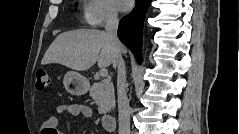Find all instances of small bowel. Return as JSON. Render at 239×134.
I'll return each instance as SVG.
<instances>
[{
	"label": "small bowel",
	"instance_id": "1",
	"mask_svg": "<svg viewBox=\"0 0 239 134\" xmlns=\"http://www.w3.org/2000/svg\"><path fill=\"white\" fill-rule=\"evenodd\" d=\"M58 114L81 115L84 118H90L92 116V109L82 103L60 102L56 107L55 115L51 116L42 124V134H58Z\"/></svg>",
	"mask_w": 239,
	"mask_h": 134
}]
</instances>
